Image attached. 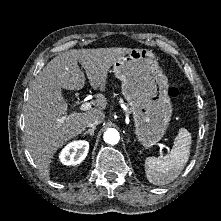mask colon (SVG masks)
<instances>
[{
	"instance_id": "obj_1",
	"label": "colon",
	"mask_w": 221,
	"mask_h": 221,
	"mask_svg": "<svg viewBox=\"0 0 221 221\" xmlns=\"http://www.w3.org/2000/svg\"><path fill=\"white\" fill-rule=\"evenodd\" d=\"M181 96V92L178 87L172 86L167 91V97L170 101H177Z\"/></svg>"
}]
</instances>
